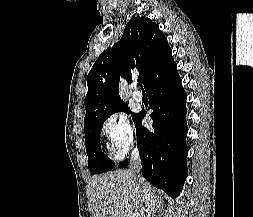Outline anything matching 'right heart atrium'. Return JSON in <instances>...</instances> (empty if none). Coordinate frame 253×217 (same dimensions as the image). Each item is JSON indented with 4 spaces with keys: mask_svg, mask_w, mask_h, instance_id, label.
Listing matches in <instances>:
<instances>
[{
    "mask_svg": "<svg viewBox=\"0 0 253 217\" xmlns=\"http://www.w3.org/2000/svg\"><path fill=\"white\" fill-rule=\"evenodd\" d=\"M101 133L113 158H123L134 143V132L128 116L123 112L111 113L102 123Z\"/></svg>",
    "mask_w": 253,
    "mask_h": 217,
    "instance_id": "d8ad5b80",
    "label": "right heart atrium"
}]
</instances>
